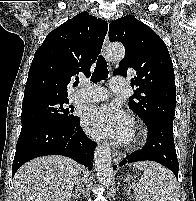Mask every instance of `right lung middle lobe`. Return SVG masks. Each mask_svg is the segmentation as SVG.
Here are the masks:
<instances>
[{
    "mask_svg": "<svg viewBox=\"0 0 196 201\" xmlns=\"http://www.w3.org/2000/svg\"><path fill=\"white\" fill-rule=\"evenodd\" d=\"M67 97L36 95L24 98L22 103V123L32 120H44L61 125H69L78 119L72 112Z\"/></svg>",
    "mask_w": 196,
    "mask_h": 201,
    "instance_id": "obj_1",
    "label": "right lung middle lobe"
}]
</instances>
